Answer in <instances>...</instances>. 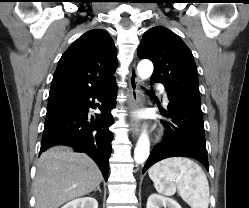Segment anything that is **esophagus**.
I'll list each match as a JSON object with an SVG mask.
<instances>
[{"label":"esophagus","mask_w":249,"mask_h":208,"mask_svg":"<svg viewBox=\"0 0 249 208\" xmlns=\"http://www.w3.org/2000/svg\"><path fill=\"white\" fill-rule=\"evenodd\" d=\"M130 70L127 106L130 112V130L134 136H137L140 132V121L135 117V111L138 110L140 103L139 78L134 65L131 66Z\"/></svg>","instance_id":"1"}]
</instances>
